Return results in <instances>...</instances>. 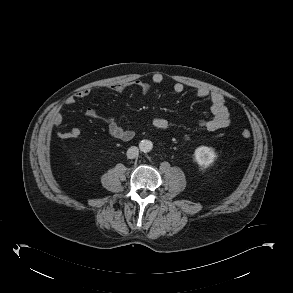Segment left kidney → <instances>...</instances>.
I'll return each mask as SVG.
<instances>
[{
	"mask_svg": "<svg viewBox=\"0 0 293 293\" xmlns=\"http://www.w3.org/2000/svg\"><path fill=\"white\" fill-rule=\"evenodd\" d=\"M195 160L202 169L211 166L216 158V153L211 147L200 146L195 149Z\"/></svg>",
	"mask_w": 293,
	"mask_h": 293,
	"instance_id": "obj_1",
	"label": "left kidney"
}]
</instances>
